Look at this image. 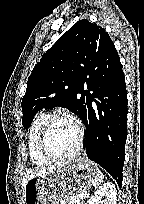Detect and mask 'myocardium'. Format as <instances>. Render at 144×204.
I'll list each match as a JSON object with an SVG mask.
<instances>
[{
    "instance_id": "f54148a6",
    "label": "myocardium",
    "mask_w": 144,
    "mask_h": 204,
    "mask_svg": "<svg viewBox=\"0 0 144 204\" xmlns=\"http://www.w3.org/2000/svg\"><path fill=\"white\" fill-rule=\"evenodd\" d=\"M59 119H68L71 120L72 122L75 123L78 131V141L76 144L75 150L65 156H57L54 155L48 148L47 144V139H48V134L49 131L53 125V123ZM84 139H85V129L82 121L75 115L70 114V113H65V112H59V113H54L50 116H48L47 120L45 121L40 135L38 139V147L40 153L45 157L46 159L52 161V162H64L68 160H72L76 158L83 150L84 146Z\"/></svg>"
}]
</instances>
